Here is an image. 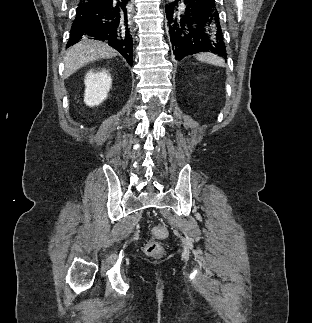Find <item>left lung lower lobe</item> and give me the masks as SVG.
I'll list each match as a JSON object with an SVG mask.
<instances>
[{
  "mask_svg": "<svg viewBox=\"0 0 312 323\" xmlns=\"http://www.w3.org/2000/svg\"><path fill=\"white\" fill-rule=\"evenodd\" d=\"M166 15L176 59L202 51L227 57L216 0H175Z\"/></svg>",
  "mask_w": 312,
  "mask_h": 323,
  "instance_id": "0a47b994",
  "label": "left lung lower lobe"
}]
</instances>
